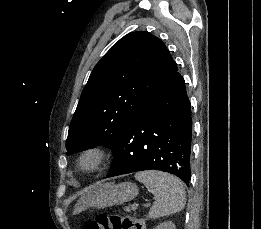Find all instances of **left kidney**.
Wrapping results in <instances>:
<instances>
[{"mask_svg": "<svg viewBox=\"0 0 261 229\" xmlns=\"http://www.w3.org/2000/svg\"><path fill=\"white\" fill-rule=\"evenodd\" d=\"M156 229H176V225L172 221H168V223H160Z\"/></svg>", "mask_w": 261, "mask_h": 229, "instance_id": "1", "label": "left kidney"}]
</instances>
